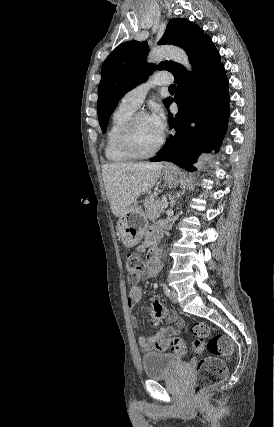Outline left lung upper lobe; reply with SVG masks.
Instances as JSON below:
<instances>
[{"instance_id":"1","label":"left lung upper lobe","mask_w":274,"mask_h":427,"mask_svg":"<svg viewBox=\"0 0 274 427\" xmlns=\"http://www.w3.org/2000/svg\"><path fill=\"white\" fill-rule=\"evenodd\" d=\"M209 36L198 25L180 18L169 21L159 45L173 44L183 48L191 56L194 49ZM148 46L145 42L128 41L118 45L106 58L101 69L97 112L102 132L118 101L128 91L147 79L154 70H167L175 75L183 68L173 61L161 62L158 66L147 64ZM168 99V98H167ZM167 99L164 103L166 104Z\"/></svg>"}]
</instances>
